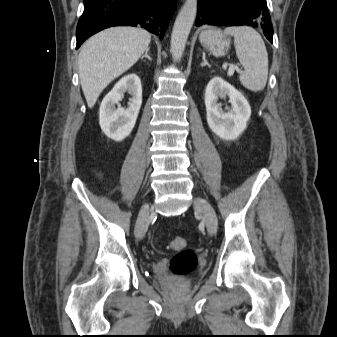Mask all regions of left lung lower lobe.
I'll list each match as a JSON object with an SVG mask.
<instances>
[{"mask_svg":"<svg viewBox=\"0 0 337 337\" xmlns=\"http://www.w3.org/2000/svg\"><path fill=\"white\" fill-rule=\"evenodd\" d=\"M196 26L260 27L272 43L273 27L266 0H199Z\"/></svg>","mask_w":337,"mask_h":337,"instance_id":"0a47b994","label":"left lung lower lobe"}]
</instances>
